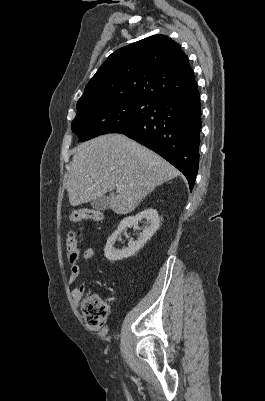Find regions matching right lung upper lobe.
<instances>
[{"label": "right lung upper lobe", "mask_w": 265, "mask_h": 401, "mask_svg": "<svg viewBox=\"0 0 265 401\" xmlns=\"http://www.w3.org/2000/svg\"><path fill=\"white\" fill-rule=\"evenodd\" d=\"M196 84L186 54L165 35H154L112 53L88 82L77 106L102 98L154 101Z\"/></svg>", "instance_id": "cb5924a9"}]
</instances>
